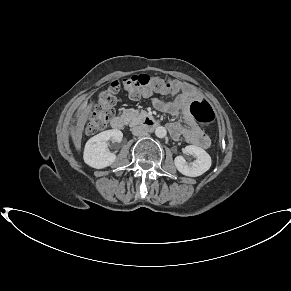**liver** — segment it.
Instances as JSON below:
<instances>
[{"label":"liver","mask_w":291,"mask_h":291,"mask_svg":"<svg viewBox=\"0 0 291 291\" xmlns=\"http://www.w3.org/2000/svg\"><path fill=\"white\" fill-rule=\"evenodd\" d=\"M87 106H88V103L87 102H84L81 107H80V112H85L87 111Z\"/></svg>","instance_id":"1"}]
</instances>
